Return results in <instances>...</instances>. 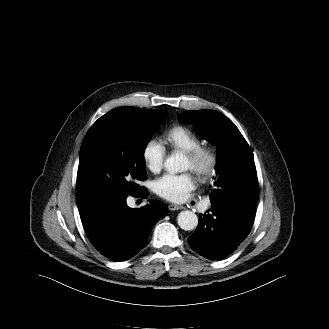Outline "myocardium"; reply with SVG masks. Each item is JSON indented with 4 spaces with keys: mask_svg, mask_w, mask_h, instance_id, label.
Listing matches in <instances>:
<instances>
[{
    "mask_svg": "<svg viewBox=\"0 0 329 329\" xmlns=\"http://www.w3.org/2000/svg\"><path fill=\"white\" fill-rule=\"evenodd\" d=\"M186 157L192 163V171L198 178L205 180L213 176L219 164V156L216 149L210 145H200L185 152Z\"/></svg>",
    "mask_w": 329,
    "mask_h": 329,
    "instance_id": "obj_1",
    "label": "myocardium"
}]
</instances>
